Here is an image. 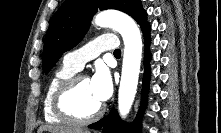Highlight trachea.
I'll list each match as a JSON object with an SVG mask.
<instances>
[{"instance_id": "1", "label": "trachea", "mask_w": 221, "mask_h": 133, "mask_svg": "<svg viewBox=\"0 0 221 133\" xmlns=\"http://www.w3.org/2000/svg\"><path fill=\"white\" fill-rule=\"evenodd\" d=\"M114 55H115V56L121 55V50H120V49L115 50V51H114Z\"/></svg>"}]
</instances>
